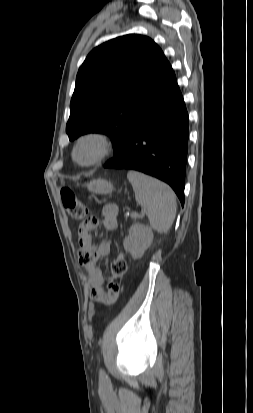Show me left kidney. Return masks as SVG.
Here are the masks:
<instances>
[{
  "mask_svg": "<svg viewBox=\"0 0 253 413\" xmlns=\"http://www.w3.org/2000/svg\"><path fill=\"white\" fill-rule=\"evenodd\" d=\"M153 241L152 229L148 226L136 223L129 229V235L124 239L125 251L129 252L133 259H139L149 248Z\"/></svg>",
  "mask_w": 253,
  "mask_h": 413,
  "instance_id": "left-kidney-1",
  "label": "left kidney"
}]
</instances>
